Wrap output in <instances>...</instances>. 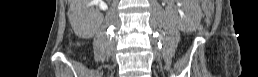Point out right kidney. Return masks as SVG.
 I'll list each match as a JSON object with an SVG mask.
<instances>
[{"label":"right kidney","mask_w":258,"mask_h":77,"mask_svg":"<svg viewBox=\"0 0 258 77\" xmlns=\"http://www.w3.org/2000/svg\"><path fill=\"white\" fill-rule=\"evenodd\" d=\"M101 0H88L90 4L93 2H100ZM97 4V3H96ZM103 7H106L105 4H102ZM73 29L75 32L82 38H89L93 35L97 24L96 23H87L82 17H79L73 24Z\"/></svg>","instance_id":"ca27d5eb"}]
</instances>
